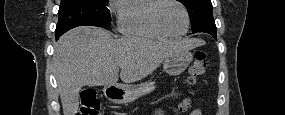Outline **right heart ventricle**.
I'll return each mask as SVG.
<instances>
[{
  "label": "right heart ventricle",
  "mask_w": 285,
  "mask_h": 115,
  "mask_svg": "<svg viewBox=\"0 0 285 115\" xmlns=\"http://www.w3.org/2000/svg\"><path fill=\"white\" fill-rule=\"evenodd\" d=\"M158 0H129L118 4V29L124 36L148 39L169 38L152 22V12Z\"/></svg>",
  "instance_id": "obj_1"
}]
</instances>
